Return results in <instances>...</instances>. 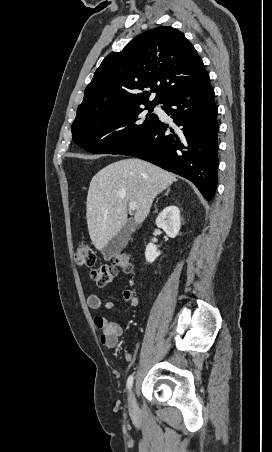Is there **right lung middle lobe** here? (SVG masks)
<instances>
[{
    "label": "right lung middle lobe",
    "instance_id": "obj_1",
    "mask_svg": "<svg viewBox=\"0 0 272 452\" xmlns=\"http://www.w3.org/2000/svg\"><path fill=\"white\" fill-rule=\"evenodd\" d=\"M153 108L145 104L78 118L71 127L72 139L95 154H119L158 120L156 114H151Z\"/></svg>",
    "mask_w": 272,
    "mask_h": 452
}]
</instances>
